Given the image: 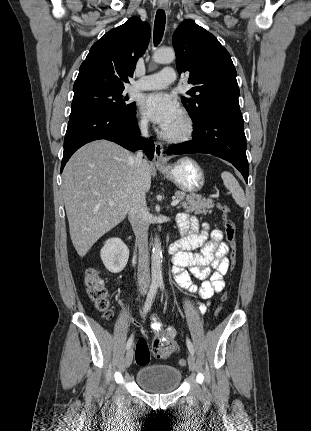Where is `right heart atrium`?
Returning a JSON list of instances; mask_svg holds the SVG:
<instances>
[{
	"mask_svg": "<svg viewBox=\"0 0 311 431\" xmlns=\"http://www.w3.org/2000/svg\"><path fill=\"white\" fill-rule=\"evenodd\" d=\"M135 126L139 133L142 135H148L150 131V122L146 115L142 112H138L135 117Z\"/></svg>",
	"mask_w": 311,
	"mask_h": 431,
	"instance_id": "d8ad5b80",
	"label": "right heart atrium"
}]
</instances>
